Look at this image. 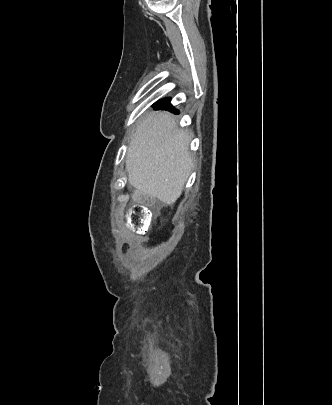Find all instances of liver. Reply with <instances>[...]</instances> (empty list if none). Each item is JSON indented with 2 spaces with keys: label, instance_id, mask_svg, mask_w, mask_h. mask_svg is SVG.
<instances>
[{
  "label": "liver",
  "instance_id": "1",
  "mask_svg": "<svg viewBox=\"0 0 332 405\" xmlns=\"http://www.w3.org/2000/svg\"><path fill=\"white\" fill-rule=\"evenodd\" d=\"M191 136L168 112H154L130 141L126 169L132 186L151 198L173 204L192 170Z\"/></svg>",
  "mask_w": 332,
  "mask_h": 405
}]
</instances>
